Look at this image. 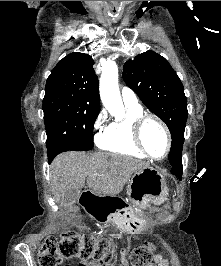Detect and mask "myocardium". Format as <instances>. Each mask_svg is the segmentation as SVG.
<instances>
[{
	"label": "myocardium",
	"mask_w": 221,
	"mask_h": 266,
	"mask_svg": "<svg viewBox=\"0 0 221 266\" xmlns=\"http://www.w3.org/2000/svg\"><path fill=\"white\" fill-rule=\"evenodd\" d=\"M148 120H154L161 127V129L163 130L165 134L166 150H165V153L161 157L152 156L143 143L142 131H143V127L145 123ZM132 136H133V140L136 146L145 154V156H147L148 158L154 161L164 160L168 156L171 150L172 139H171L170 131L167 125L165 124V122L155 114L142 112L140 115L136 116L132 121Z\"/></svg>",
	"instance_id": "myocardium-1"
}]
</instances>
